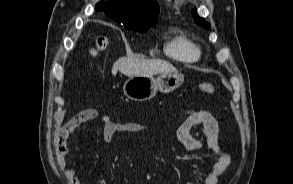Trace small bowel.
Here are the masks:
<instances>
[{
	"label": "small bowel",
	"instance_id": "small-bowel-1",
	"mask_svg": "<svg viewBox=\"0 0 293 184\" xmlns=\"http://www.w3.org/2000/svg\"><path fill=\"white\" fill-rule=\"evenodd\" d=\"M94 120L101 123L106 143H112L119 133H144L148 131L145 125L136 122H114L109 116L100 115L95 109H85L76 113L62 126L58 134L59 142L66 143L71 134L85 129L86 123ZM198 127L200 129L198 134L195 135L193 130ZM176 136L180 144L187 150L200 151L208 149L218 156L210 171L203 178L186 184H217L219 178L225 173L230 164V157L220 147L219 125L213 115L204 109L185 110L184 120L178 127ZM200 139L204 140V144ZM66 153L67 150L62 152L63 155ZM58 165L61 168H66L68 184H82L81 178L75 173L73 163L69 162L66 157L60 156ZM96 184H106V182L99 180Z\"/></svg>",
	"mask_w": 293,
	"mask_h": 184
}]
</instances>
